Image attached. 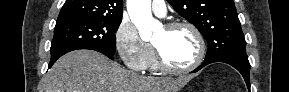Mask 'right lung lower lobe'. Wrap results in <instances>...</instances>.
<instances>
[{
	"mask_svg": "<svg viewBox=\"0 0 289 92\" xmlns=\"http://www.w3.org/2000/svg\"><path fill=\"white\" fill-rule=\"evenodd\" d=\"M104 55H106L107 57H109L110 59H113V55L107 54V53H103ZM57 59L54 60H50L49 66L48 68H51V66L56 62Z\"/></svg>",
	"mask_w": 289,
	"mask_h": 92,
	"instance_id": "right-lung-lower-lobe-1",
	"label": "right lung lower lobe"
}]
</instances>
